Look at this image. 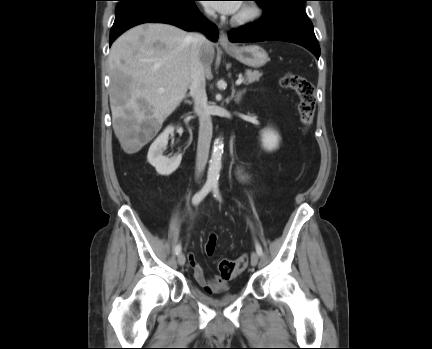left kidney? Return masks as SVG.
I'll return each mask as SVG.
<instances>
[{"label": "left kidney", "instance_id": "obj_1", "mask_svg": "<svg viewBox=\"0 0 432 349\" xmlns=\"http://www.w3.org/2000/svg\"><path fill=\"white\" fill-rule=\"evenodd\" d=\"M280 136L272 128H266L261 131L262 146L267 151H273L279 146Z\"/></svg>", "mask_w": 432, "mask_h": 349}]
</instances>
